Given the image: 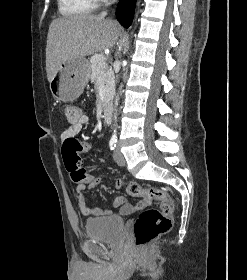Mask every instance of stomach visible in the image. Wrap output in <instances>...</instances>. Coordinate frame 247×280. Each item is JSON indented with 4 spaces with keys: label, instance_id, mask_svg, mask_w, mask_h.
Masks as SVG:
<instances>
[{
    "label": "stomach",
    "instance_id": "1",
    "mask_svg": "<svg viewBox=\"0 0 247 280\" xmlns=\"http://www.w3.org/2000/svg\"><path fill=\"white\" fill-rule=\"evenodd\" d=\"M90 64L84 57L69 59L63 63L50 81V91L60 101L76 100L89 81Z\"/></svg>",
    "mask_w": 247,
    "mask_h": 280
}]
</instances>
